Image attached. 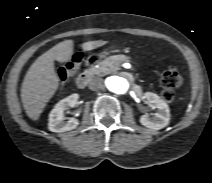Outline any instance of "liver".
<instances>
[{
    "label": "liver",
    "instance_id": "6515ba94",
    "mask_svg": "<svg viewBox=\"0 0 212 183\" xmlns=\"http://www.w3.org/2000/svg\"><path fill=\"white\" fill-rule=\"evenodd\" d=\"M105 44V41H88L82 49L90 51ZM73 40L58 43L31 65L21 88V100L26 114L32 120L39 119L43 109L59 87V77L55 72L54 60L66 62L73 55Z\"/></svg>",
    "mask_w": 212,
    "mask_h": 183
}]
</instances>
